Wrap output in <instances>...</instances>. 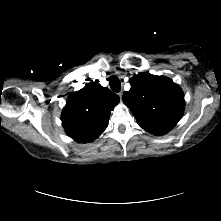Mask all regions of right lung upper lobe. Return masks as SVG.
<instances>
[{
	"label": "right lung upper lobe",
	"instance_id": "obj_1",
	"mask_svg": "<svg viewBox=\"0 0 221 221\" xmlns=\"http://www.w3.org/2000/svg\"><path fill=\"white\" fill-rule=\"evenodd\" d=\"M120 101L118 95L97 82L88 83L68 99L62 112V123L75 141L95 140L107 127L111 110Z\"/></svg>",
	"mask_w": 221,
	"mask_h": 221
}]
</instances>
